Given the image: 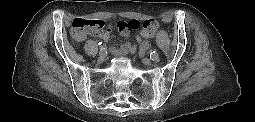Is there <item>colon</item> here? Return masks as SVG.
<instances>
[{
	"label": "colon",
	"mask_w": 255,
	"mask_h": 122,
	"mask_svg": "<svg viewBox=\"0 0 255 122\" xmlns=\"http://www.w3.org/2000/svg\"><path fill=\"white\" fill-rule=\"evenodd\" d=\"M114 26L113 23H106L99 19H84L77 18L72 22V35L75 39H81L86 31H103L104 29H111ZM116 26L121 29L123 27L129 30H138L143 36H152L158 28V22L155 20H130L127 22L120 21L116 23Z\"/></svg>",
	"instance_id": "obj_1"
}]
</instances>
